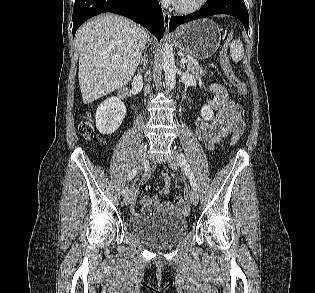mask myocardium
I'll return each mask as SVG.
<instances>
[{
	"label": "myocardium",
	"mask_w": 315,
	"mask_h": 293,
	"mask_svg": "<svg viewBox=\"0 0 315 293\" xmlns=\"http://www.w3.org/2000/svg\"><path fill=\"white\" fill-rule=\"evenodd\" d=\"M207 0H197L194 4L189 6H183L178 4L176 1L173 3V7L176 11L184 14L194 13L200 10L205 4Z\"/></svg>",
	"instance_id": "f54148a6"
}]
</instances>
